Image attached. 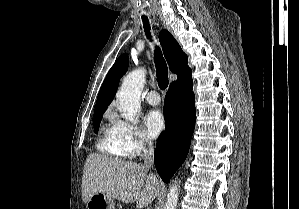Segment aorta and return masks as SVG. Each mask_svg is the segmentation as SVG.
Returning <instances> with one entry per match:
<instances>
[{"label": "aorta", "instance_id": "obj_1", "mask_svg": "<svg viewBox=\"0 0 299 209\" xmlns=\"http://www.w3.org/2000/svg\"><path fill=\"white\" fill-rule=\"evenodd\" d=\"M145 83V71L136 69L129 73L123 80L122 86L117 93V99L122 107L121 116L136 124L137 114L141 107L140 95ZM179 197L178 183L170 186L164 209H177Z\"/></svg>", "mask_w": 299, "mask_h": 209}]
</instances>
